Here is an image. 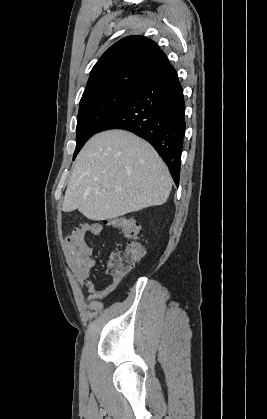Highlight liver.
<instances>
[{
    "label": "liver",
    "instance_id": "liver-1",
    "mask_svg": "<svg viewBox=\"0 0 267 419\" xmlns=\"http://www.w3.org/2000/svg\"><path fill=\"white\" fill-rule=\"evenodd\" d=\"M172 178L155 149L124 130L94 135L78 154L62 210L88 219H113L169 197Z\"/></svg>",
    "mask_w": 267,
    "mask_h": 419
}]
</instances>
